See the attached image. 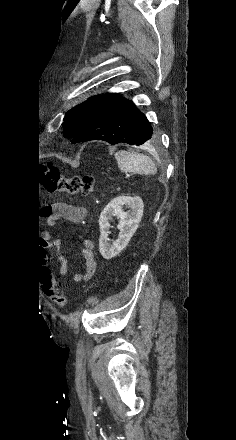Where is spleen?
Returning <instances> with one entry per match:
<instances>
[{"label":"spleen","mask_w":236,"mask_h":440,"mask_svg":"<svg viewBox=\"0 0 236 440\" xmlns=\"http://www.w3.org/2000/svg\"><path fill=\"white\" fill-rule=\"evenodd\" d=\"M115 159L122 172L153 175L157 168L152 159L142 153L120 150L115 153Z\"/></svg>","instance_id":"3e777b00"}]
</instances>
